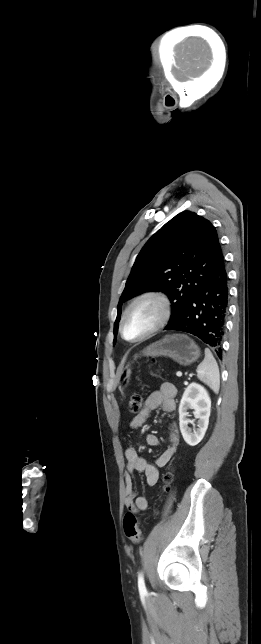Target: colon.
<instances>
[{"instance_id": "1", "label": "colon", "mask_w": 261, "mask_h": 644, "mask_svg": "<svg viewBox=\"0 0 261 644\" xmlns=\"http://www.w3.org/2000/svg\"><path fill=\"white\" fill-rule=\"evenodd\" d=\"M144 405V398L142 394H134L129 401V410L131 413H138L142 410ZM172 472H166L163 476L164 490H166L172 481ZM123 529L127 538L135 543L141 541L142 534L140 530V521L138 517L132 513L127 512L123 518Z\"/></svg>"}]
</instances>
